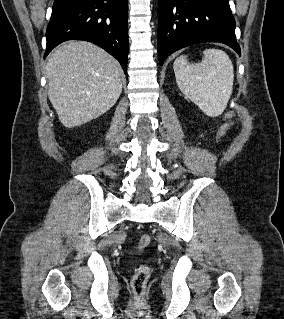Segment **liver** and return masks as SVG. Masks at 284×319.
<instances>
[{
  "label": "liver",
  "mask_w": 284,
  "mask_h": 319,
  "mask_svg": "<svg viewBox=\"0 0 284 319\" xmlns=\"http://www.w3.org/2000/svg\"><path fill=\"white\" fill-rule=\"evenodd\" d=\"M48 97L67 128L87 123L108 111L122 92V69L102 48L68 41L49 56Z\"/></svg>",
  "instance_id": "1"
}]
</instances>
